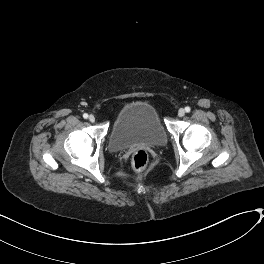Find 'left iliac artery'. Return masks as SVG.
<instances>
[{
	"label": "left iliac artery",
	"instance_id": "left-iliac-artery-1",
	"mask_svg": "<svg viewBox=\"0 0 264 264\" xmlns=\"http://www.w3.org/2000/svg\"><path fill=\"white\" fill-rule=\"evenodd\" d=\"M190 110H191L190 107H188V106L185 107V111H186L187 113L190 112Z\"/></svg>",
	"mask_w": 264,
	"mask_h": 264
}]
</instances>
